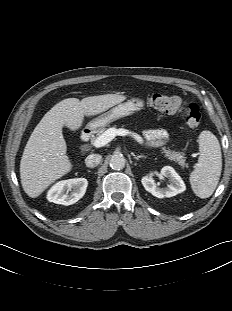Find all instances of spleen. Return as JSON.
Wrapping results in <instances>:
<instances>
[{
  "instance_id": "obj_1",
  "label": "spleen",
  "mask_w": 232,
  "mask_h": 311,
  "mask_svg": "<svg viewBox=\"0 0 232 311\" xmlns=\"http://www.w3.org/2000/svg\"><path fill=\"white\" fill-rule=\"evenodd\" d=\"M198 164L190 174L193 192L200 198H208L215 191L222 170L221 147L217 137L210 131L199 135Z\"/></svg>"
}]
</instances>
